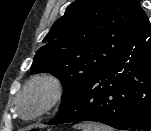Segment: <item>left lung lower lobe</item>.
<instances>
[{"instance_id":"left-lung-lower-lobe-1","label":"left lung lower lobe","mask_w":151,"mask_h":131,"mask_svg":"<svg viewBox=\"0 0 151 131\" xmlns=\"http://www.w3.org/2000/svg\"><path fill=\"white\" fill-rule=\"evenodd\" d=\"M95 121L120 130L151 129V23L141 8L128 54L88 78L48 123Z\"/></svg>"}]
</instances>
